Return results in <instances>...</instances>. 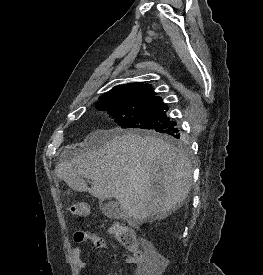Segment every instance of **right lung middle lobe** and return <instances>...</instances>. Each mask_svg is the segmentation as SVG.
<instances>
[{
	"mask_svg": "<svg viewBox=\"0 0 263 275\" xmlns=\"http://www.w3.org/2000/svg\"><path fill=\"white\" fill-rule=\"evenodd\" d=\"M96 108L108 112L109 116L115 118V122L124 129L161 133L163 129L176 124L166 115L168 107L159 97L139 98L125 93H109L99 98ZM163 135V140L180 147L183 146L180 138Z\"/></svg>",
	"mask_w": 263,
	"mask_h": 275,
	"instance_id": "right-lung-middle-lobe-1",
	"label": "right lung middle lobe"
}]
</instances>
